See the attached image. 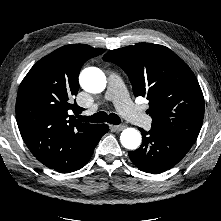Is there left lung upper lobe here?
<instances>
[{"label":"left lung upper lobe","instance_id":"1","mask_svg":"<svg viewBox=\"0 0 221 221\" xmlns=\"http://www.w3.org/2000/svg\"><path fill=\"white\" fill-rule=\"evenodd\" d=\"M104 61L128 75L135 96L149 100L151 128L194 143L204 117V98L188 65L169 48L138 43L107 52Z\"/></svg>","mask_w":221,"mask_h":221}]
</instances>
